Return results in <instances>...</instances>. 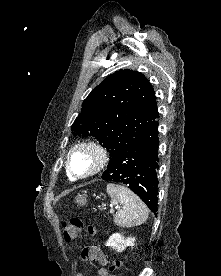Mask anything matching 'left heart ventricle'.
Here are the masks:
<instances>
[{
  "mask_svg": "<svg viewBox=\"0 0 221 276\" xmlns=\"http://www.w3.org/2000/svg\"><path fill=\"white\" fill-rule=\"evenodd\" d=\"M94 160L86 151H78L71 158V167L74 173L84 174L93 166Z\"/></svg>",
  "mask_w": 221,
  "mask_h": 276,
  "instance_id": "obj_1",
  "label": "left heart ventricle"
}]
</instances>
